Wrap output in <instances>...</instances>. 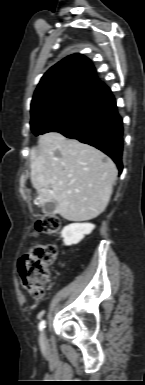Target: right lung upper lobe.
<instances>
[{
    "label": "right lung upper lobe",
    "instance_id": "obj_1",
    "mask_svg": "<svg viewBox=\"0 0 145 385\" xmlns=\"http://www.w3.org/2000/svg\"><path fill=\"white\" fill-rule=\"evenodd\" d=\"M108 89L96 76L91 61L81 54L70 55L51 67L34 93L31 110L47 100L72 90L102 93Z\"/></svg>",
    "mask_w": 145,
    "mask_h": 385
}]
</instances>
